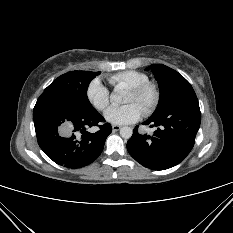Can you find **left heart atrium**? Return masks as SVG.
<instances>
[{
  "mask_svg": "<svg viewBox=\"0 0 233 233\" xmlns=\"http://www.w3.org/2000/svg\"><path fill=\"white\" fill-rule=\"evenodd\" d=\"M143 115V109L137 103L122 106H110L104 113L105 120L114 125L130 124Z\"/></svg>",
  "mask_w": 233,
  "mask_h": 233,
  "instance_id": "obj_1",
  "label": "left heart atrium"
}]
</instances>
